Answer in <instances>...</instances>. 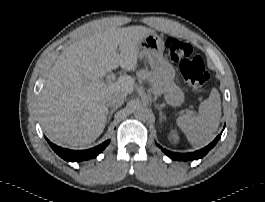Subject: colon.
<instances>
[{"label": "colon", "mask_w": 265, "mask_h": 202, "mask_svg": "<svg viewBox=\"0 0 265 202\" xmlns=\"http://www.w3.org/2000/svg\"><path fill=\"white\" fill-rule=\"evenodd\" d=\"M166 47L172 60L179 64V69L188 85L197 89L208 79L204 61L200 56H194L191 45L171 37L166 41Z\"/></svg>", "instance_id": "5ec220e1"}]
</instances>
